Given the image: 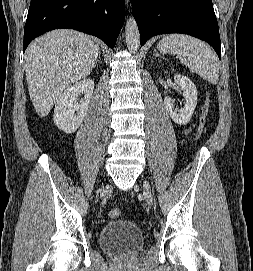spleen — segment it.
<instances>
[{
	"instance_id": "3e777b00",
	"label": "spleen",
	"mask_w": 253,
	"mask_h": 271,
	"mask_svg": "<svg viewBox=\"0 0 253 271\" xmlns=\"http://www.w3.org/2000/svg\"><path fill=\"white\" fill-rule=\"evenodd\" d=\"M157 47L163 53L176 55L182 64L208 82H218L219 62L206 43L188 35L170 34L163 37Z\"/></svg>"
}]
</instances>
